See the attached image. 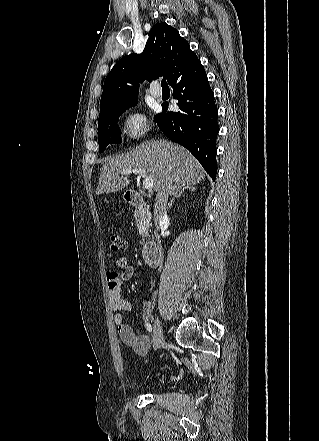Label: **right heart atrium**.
Returning a JSON list of instances; mask_svg holds the SVG:
<instances>
[{
    "label": "right heart atrium",
    "mask_w": 319,
    "mask_h": 441,
    "mask_svg": "<svg viewBox=\"0 0 319 441\" xmlns=\"http://www.w3.org/2000/svg\"><path fill=\"white\" fill-rule=\"evenodd\" d=\"M122 127L124 135L129 141H137L147 131V118L139 111L130 112L124 117Z\"/></svg>",
    "instance_id": "1"
}]
</instances>
